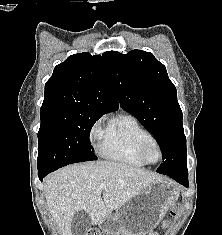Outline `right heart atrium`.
I'll use <instances>...</instances> for the list:
<instances>
[{
	"label": "right heart atrium",
	"mask_w": 222,
	"mask_h": 235,
	"mask_svg": "<svg viewBox=\"0 0 222 235\" xmlns=\"http://www.w3.org/2000/svg\"><path fill=\"white\" fill-rule=\"evenodd\" d=\"M102 135L101 121H96L90 130V139L95 142L100 140Z\"/></svg>",
	"instance_id": "1"
}]
</instances>
